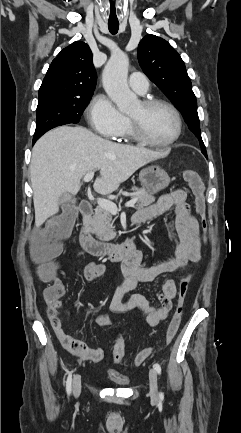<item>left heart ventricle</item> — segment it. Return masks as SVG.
I'll use <instances>...</instances> for the list:
<instances>
[{"label":"left heart ventricle","mask_w":241,"mask_h":433,"mask_svg":"<svg viewBox=\"0 0 241 433\" xmlns=\"http://www.w3.org/2000/svg\"><path fill=\"white\" fill-rule=\"evenodd\" d=\"M143 129L145 134L157 142L170 140L176 133L177 125L173 113L166 107L145 109L141 102L128 114Z\"/></svg>","instance_id":"obj_1"}]
</instances>
